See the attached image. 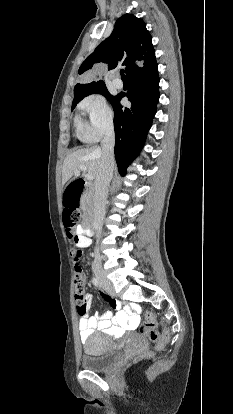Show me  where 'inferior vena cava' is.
<instances>
[{
	"label": "inferior vena cava",
	"mask_w": 233,
	"mask_h": 414,
	"mask_svg": "<svg viewBox=\"0 0 233 414\" xmlns=\"http://www.w3.org/2000/svg\"><path fill=\"white\" fill-rule=\"evenodd\" d=\"M115 133L113 125H109L105 131V137L101 142L102 160L101 169L95 179L93 227L100 231L105 216V206L108 196V188L113 176L115 167L114 159ZM97 256V253H94ZM100 260L95 258L94 264H99Z\"/></svg>",
	"instance_id": "obj_1"
}]
</instances>
